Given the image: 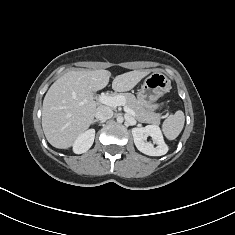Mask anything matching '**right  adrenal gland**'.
Wrapping results in <instances>:
<instances>
[{"mask_svg": "<svg viewBox=\"0 0 235 235\" xmlns=\"http://www.w3.org/2000/svg\"><path fill=\"white\" fill-rule=\"evenodd\" d=\"M95 122H98V120L95 119V120L93 121V123H95Z\"/></svg>", "mask_w": 235, "mask_h": 235, "instance_id": "1", "label": "right adrenal gland"}]
</instances>
